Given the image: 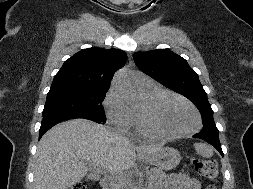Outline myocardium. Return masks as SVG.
<instances>
[{"label": "myocardium", "mask_w": 253, "mask_h": 189, "mask_svg": "<svg viewBox=\"0 0 253 189\" xmlns=\"http://www.w3.org/2000/svg\"><path fill=\"white\" fill-rule=\"evenodd\" d=\"M165 97H173L175 99H178L193 110L196 117V125L194 126V128L180 133H169L159 129L153 123L152 119L153 111L155 107L158 105V103ZM201 125H202L201 115L196 106L185 97L171 91H163L152 97L144 104L140 113V130L144 134L158 139H178L187 137L198 132L201 128Z\"/></svg>", "instance_id": "myocardium-1"}]
</instances>
